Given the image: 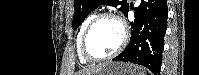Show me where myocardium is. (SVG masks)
I'll list each match as a JSON object with an SVG mask.
<instances>
[{
  "label": "myocardium",
  "instance_id": "obj_1",
  "mask_svg": "<svg viewBox=\"0 0 199 75\" xmlns=\"http://www.w3.org/2000/svg\"><path fill=\"white\" fill-rule=\"evenodd\" d=\"M103 19H111V20L115 21L121 28L122 38H121V41H120L118 47L114 51H112L111 53H109L105 56H102V57H95L92 54H90L87 50V40H88V37H89V34H90L92 28L99 21H101ZM128 39H129L128 28H127L126 23L124 22V20L121 17H119L118 15L113 14V13H100V14L94 16L91 19V21L89 22V24L86 26V28L82 34L81 41H80V53H81L82 57L89 62H100V61L108 60V59H111V58L117 56L124 49V47L126 46V44L128 42Z\"/></svg>",
  "mask_w": 199,
  "mask_h": 75
}]
</instances>
